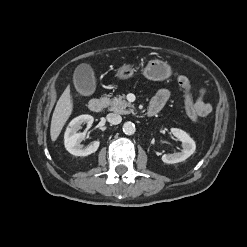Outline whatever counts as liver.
Returning <instances> with one entry per match:
<instances>
[{"label": "liver", "mask_w": 247, "mask_h": 247, "mask_svg": "<svg viewBox=\"0 0 247 247\" xmlns=\"http://www.w3.org/2000/svg\"><path fill=\"white\" fill-rule=\"evenodd\" d=\"M73 111L72 95L68 86L60 96L52 115L50 136L52 141H56L63 126Z\"/></svg>", "instance_id": "6515ba94"}]
</instances>
